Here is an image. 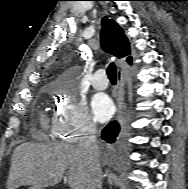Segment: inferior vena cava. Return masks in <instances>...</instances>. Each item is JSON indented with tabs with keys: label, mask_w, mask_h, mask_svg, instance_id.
I'll use <instances>...</instances> for the list:
<instances>
[{
	"label": "inferior vena cava",
	"mask_w": 188,
	"mask_h": 189,
	"mask_svg": "<svg viewBox=\"0 0 188 189\" xmlns=\"http://www.w3.org/2000/svg\"><path fill=\"white\" fill-rule=\"evenodd\" d=\"M96 126L89 122L81 130L78 148L87 157L90 163V175L85 189H102V170L99 161V146L96 140Z\"/></svg>",
	"instance_id": "602c4592"
}]
</instances>
